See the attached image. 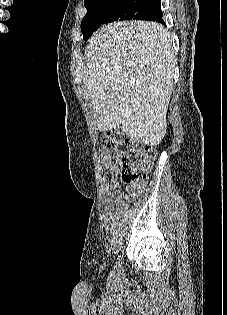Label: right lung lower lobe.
Instances as JSON below:
<instances>
[{"mask_svg":"<svg viewBox=\"0 0 227 315\" xmlns=\"http://www.w3.org/2000/svg\"><path fill=\"white\" fill-rule=\"evenodd\" d=\"M162 17H163V13H162V10H161V6L159 4V6H158V8H157V10L155 12V21L164 23Z\"/></svg>","mask_w":227,"mask_h":315,"instance_id":"1","label":"right lung lower lobe"}]
</instances>
